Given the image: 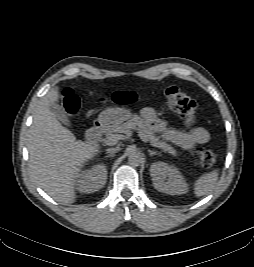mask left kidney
<instances>
[{"mask_svg": "<svg viewBox=\"0 0 254 267\" xmlns=\"http://www.w3.org/2000/svg\"><path fill=\"white\" fill-rule=\"evenodd\" d=\"M154 188L159 192L170 195H181L188 191V185L185 182L180 171L173 165L165 162H155L150 167Z\"/></svg>", "mask_w": 254, "mask_h": 267, "instance_id": "1", "label": "left kidney"}]
</instances>
